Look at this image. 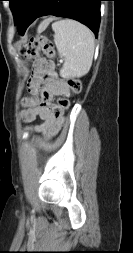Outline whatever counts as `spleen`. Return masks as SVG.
I'll return each mask as SVG.
<instances>
[{"label":"spleen","mask_w":133,"mask_h":253,"mask_svg":"<svg viewBox=\"0 0 133 253\" xmlns=\"http://www.w3.org/2000/svg\"><path fill=\"white\" fill-rule=\"evenodd\" d=\"M57 51L64 58L60 75L80 78L88 73L94 56V35L78 21L64 19L52 24Z\"/></svg>","instance_id":"obj_1"}]
</instances>
